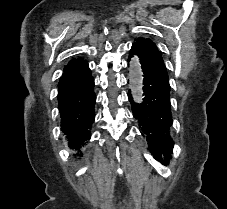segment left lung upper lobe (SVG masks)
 Masks as SVG:
<instances>
[{"label":"left lung upper lobe","mask_w":227,"mask_h":209,"mask_svg":"<svg viewBox=\"0 0 227 209\" xmlns=\"http://www.w3.org/2000/svg\"><path fill=\"white\" fill-rule=\"evenodd\" d=\"M132 46L137 49L140 55L147 57L166 70L161 53L150 39L138 38Z\"/></svg>","instance_id":"left-lung-upper-lobe-1"}]
</instances>
